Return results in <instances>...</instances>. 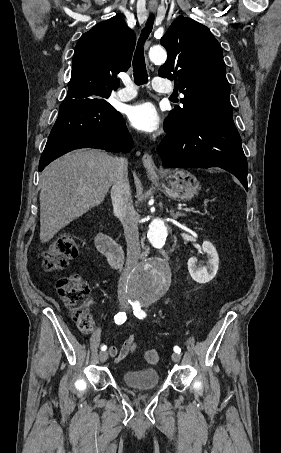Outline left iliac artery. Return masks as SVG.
Here are the masks:
<instances>
[{
	"instance_id": "left-iliac-artery-1",
	"label": "left iliac artery",
	"mask_w": 281,
	"mask_h": 453,
	"mask_svg": "<svg viewBox=\"0 0 281 453\" xmlns=\"http://www.w3.org/2000/svg\"><path fill=\"white\" fill-rule=\"evenodd\" d=\"M133 310H134V311H133L134 315H135L136 317H138L139 319H143V318L146 316L145 312H143V311L141 310L140 304H134V305H133ZM174 351H175L176 353L180 354L181 349H180L178 346H175V347H174Z\"/></svg>"
}]
</instances>
